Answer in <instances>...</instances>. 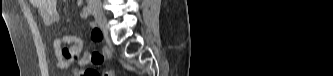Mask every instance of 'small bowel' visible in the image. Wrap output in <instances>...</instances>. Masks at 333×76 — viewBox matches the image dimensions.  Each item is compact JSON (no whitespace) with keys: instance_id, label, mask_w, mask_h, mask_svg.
Here are the masks:
<instances>
[{"instance_id":"c3829d8e","label":"small bowel","mask_w":333,"mask_h":76,"mask_svg":"<svg viewBox=\"0 0 333 76\" xmlns=\"http://www.w3.org/2000/svg\"><path fill=\"white\" fill-rule=\"evenodd\" d=\"M34 4L39 14L47 24L54 25L58 23L57 0H35ZM77 4L78 6H82V1L79 0ZM81 16L86 18V12H81ZM90 25L93 29L91 33L92 40L102 42L103 36L101 32H97L95 30V25L93 23H90ZM53 47L57 58V66L61 69H68L74 63H77L80 67H84L89 64L99 65L105 56V52H83V41L80 37L75 35L61 34L57 36L54 40ZM87 69L98 72L94 68ZM77 75L83 76V70L78 72Z\"/></svg>"}]
</instances>
